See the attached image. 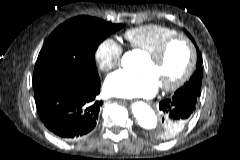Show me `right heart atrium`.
I'll list each match as a JSON object with an SVG mask.
<instances>
[{
  "mask_svg": "<svg viewBox=\"0 0 240 160\" xmlns=\"http://www.w3.org/2000/svg\"><path fill=\"white\" fill-rule=\"evenodd\" d=\"M123 47L113 38H105L95 50V60L103 72L117 68L121 63Z\"/></svg>",
  "mask_w": 240,
  "mask_h": 160,
  "instance_id": "d8ad5b80",
  "label": "right heart atrium"
}]
</instances>
